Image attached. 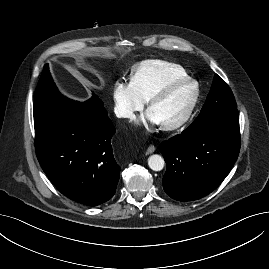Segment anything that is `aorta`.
<instances>
[{
    "mask_svg": "<svg viewBox=\"0 0 269 269\" xmlns=\"http://www.w3.org/2000/svg\"><path fill=\"white\" fill-rule=\"evenodd\" d=\"M164 159L158 154H153L148 158V165L153 171H161L164 168Z\"/></svg>",
    "mask_w": 269,
    "mask_h": 269,
    "instance_id": "1",
    "label": "aorta"
}]
</instances>
